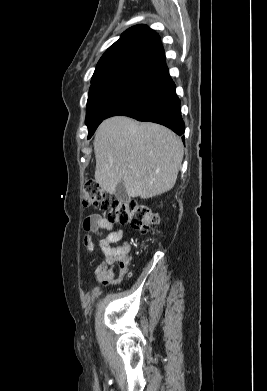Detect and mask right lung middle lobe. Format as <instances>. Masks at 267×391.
I'll return each instance as SVG.
<instances>
[{
  "label": "right lung middle lobe",
  "mask_w": 267,
  "mask_h": 391,
  "mask_svg": "<svg viewBox=\"0 0 267 391\" xmlns=\"http://www.w3.org/2000/svg\"><path fill=\"white\" fill-rule=\"evenodd\" d=\"M151 78L141 74L116 73L92 80L85 120L88 138L118 104L148 83Z\"/></svg>",
  "instance_id": "1"
}]
</instances>
